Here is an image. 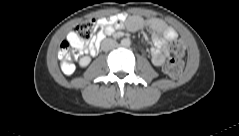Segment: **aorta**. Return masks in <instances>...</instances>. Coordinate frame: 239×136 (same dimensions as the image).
<instances>
[{
    "mask_svg": "<svg viewBox=\"0 0 239 136\" xmlns=\"http://www.w3.org/2000/svg\"><path fill=\"white\" fill-rule=\"evenodd\" d=\"M130 44H131V42H130V39H128V38H124L121 40V45L124 47H129Z\"/></svg>",
    "mask_w": 239,
    "mask_h": 136,
    "instance_id": "aorta-1",
    "label": "aorta"
}]
</instances>
